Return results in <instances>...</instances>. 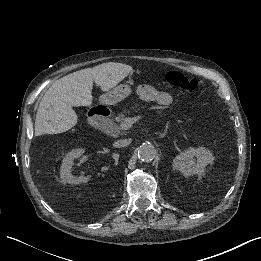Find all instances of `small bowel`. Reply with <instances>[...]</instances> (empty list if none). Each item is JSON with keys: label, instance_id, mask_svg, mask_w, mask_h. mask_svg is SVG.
Here are the masks:
<instances>
[{"label": "small bowel", "instance_id": "small-bowel-1", "mask_svg": "<svg viewBox=\"0 0 261 261\" xmlns=\"http://www.w3.org/2000/svg\"><path fill=\"white\" fill-rule=\"evenodd\" d=\"M138 94L142 98L154 101L162 106H167L172 101V98L168 93L160 91L151 85L140 86L138 88Z\"/></svg>", "mask_w": 261, "mask_h": 261}]
</instances>
